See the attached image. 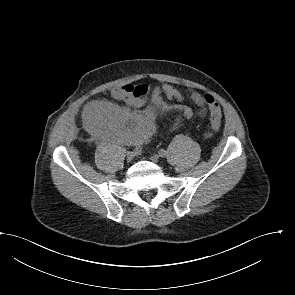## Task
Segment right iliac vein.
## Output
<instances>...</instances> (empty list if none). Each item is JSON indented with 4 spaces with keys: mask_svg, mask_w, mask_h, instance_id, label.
I'll list each match as a JSON object with an SVG mask.
<instances>
[{
    "mask_svg": "<svg viewBox=\"0 0 295 295\" xmlns=\"http://www.w3.org/2000/svg\"><path fill=\"white\" fill-rule=\"evenodd\" d=\"M127 161L131 162L133 160V158L135 157V153L134 152H127Z\"/></svg>",
    "mask_w": 295,
    "mask_h": 295,
    "instance_id": "1",
    "label": "right iliac vein"
}]
</instances>
